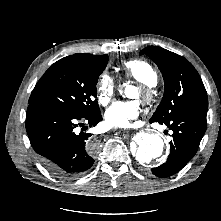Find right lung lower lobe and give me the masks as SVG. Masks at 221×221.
Listing matches in <instances>:
<instances>
[{"label": "right lung lower lobe", "mask_w": 221, "mask_h": 221, "mask_svg": "<svg viewBox=\"0 0 221 221\" xmlns=\"http://www.w3.org/2000/svg\"><path fill=\"white\" fill-rule=\"evenodd\" d=\"M101 114L82 117L71 112L42 104H29L26 130L39 161L52 174L62 178L81 175L94 163V144L89 133H76L95 126Z\"/></svg>", "instance_id": "obj_1"}]
</instances>
